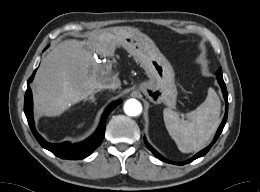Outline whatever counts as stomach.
<instances>
[{
	"label": "stomach",
	"instance_id": "0dacf381",
	"mask_svg": "<svg viewBox=\"0 0 260 192\" xmlns=\"http://www.w3.org/2000/svg\"><path fill=\"white\" fill-rule=\"evenodd\" d=\"M113 37L115 44L125 48L149 78L139 85V90L154 104L174 107L178 95L174 70L152 39L129 27H117Z\"/></svg>",
	"mask_w": 260,
	"mask_h": 192
}]
</instances>
